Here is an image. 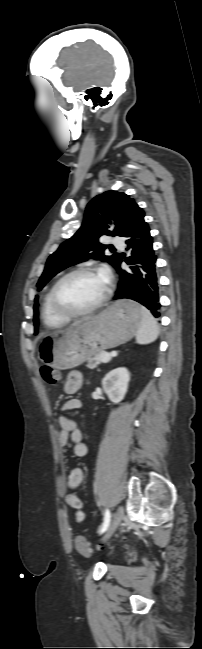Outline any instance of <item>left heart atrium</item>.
Segmentation results:
<instances>
[{
	"label": "left heart atrium",
	"instance_id": "obj_1",
	"mask_svg": "<svg viewBox=\"0 0 202 649\" xmlns=\"http://www.w3.org/2000/svg\"><path fill=\"white\" fill-rule=\"evenodd\" d=\"M100 275L104 278V280L107 282L109 278V273L107 269H103L102 271L99 272Z\"/></svg>",
	"mask_w": 202,
	"mask_h": 649
}]
</instances>
